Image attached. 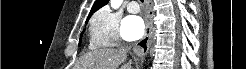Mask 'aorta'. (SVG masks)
Returning <instances> with one entry per match:
<instances>
[{
    "label": "aorta",
    "instance_id": "762f6f07",
    "mask_svg": "<svg viewBox=\"0 0 246 69\" xmlns=\"http://www.w3.org/2000/svg\"><path fill=\"white\" fill-rule=\"evenodd\" d=\"M122 1L123 0H111L110 1L111 7L114 8V9L119 8L120 5L122 4Z\"/></svg>",
    "mask_w": 246,
    "mask_h": 69
}]
</instances>
